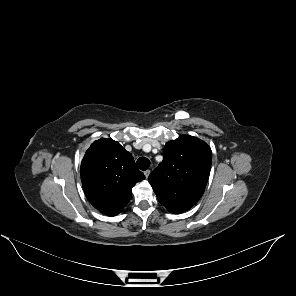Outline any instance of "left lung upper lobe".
Returning a JSON list of instances; mask_svg holds the SVG:
<instances>
[{"mask_svg":"<svg viewBox=\"0 0 296 296\" xmlns=\"http://www.w3.org/2000/svg\"><path fill=\"white\" fill-rule=\"evenodd\" d=\"M211 161L210 147L196 137L167 142L163 161L148 178L158 201L173 214L193 207L205 190Z\"/></svg>","mask_w":296,"mask_h":296,"instance_id":"left-lung-upper-lobe-1","label":"left lung upper lobe"}]
</instances>
